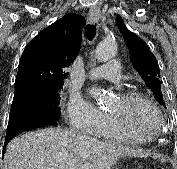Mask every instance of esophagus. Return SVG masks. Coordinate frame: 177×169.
<instances>
[{"label": "esophagus", "mask_w": 177, "mask_h": 169, "mask_svg": "<svg viewBox=\"0 0 177 169\" xmlns=\"http://www.w3.org/2000/svg\"><path fill=\"white\" fill-rule=\"evenodd\" d=\"M100 9L96 6L91 7L89 10L88 21L90 23H95L100 19Z\"/></svg>", "instance_id": "34e87169"}]
</instances>
